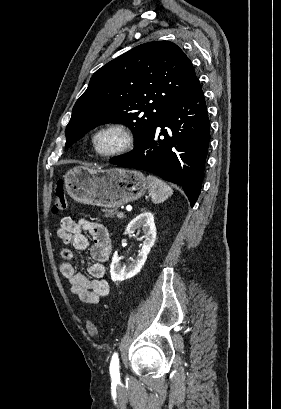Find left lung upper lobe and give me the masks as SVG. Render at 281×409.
I'll use <instances>...</instances> for the list:
<instances>
[{"label": "left lung upper lobe", "instance_id": "1", "mask_svg": "<svg viewBox=\"0 0 281 409\" xmlns=\"http://www.w3.org/2000/svg\"><path fill=\"white\" fill-rule=\"evenodd\" d=\"M195 79L191 61L174 43L154 41L129 50L93 74L73 107L65 147L108 122L126 124L136 146Z\"/></svg>", "mask_w": 281, "mask_h": 409}]
</instances>
